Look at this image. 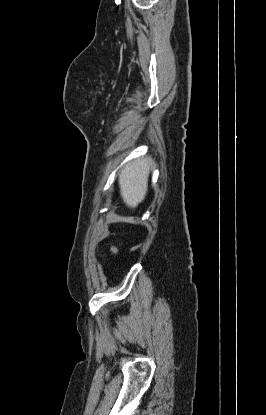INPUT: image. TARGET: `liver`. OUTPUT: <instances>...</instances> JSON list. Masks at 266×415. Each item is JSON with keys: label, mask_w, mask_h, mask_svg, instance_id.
Returning <instances> with one entry per match:
<instances>
[{"label": "liver", "mask_w": 266, "mask_h": 415, "mask_svg": "<svg viewBox=\"0 0 266 415\" xmlns=\"http://www.w3.org/2000/svg\"><path fill=\"white\" fill-rule=\"evenodd\" d=\"M151 166L150 158H142L129 163L120 172V194L128 207L135 208L144 200Z\"/></svg>", "instance_id": "obj_1"}]
</instances>
